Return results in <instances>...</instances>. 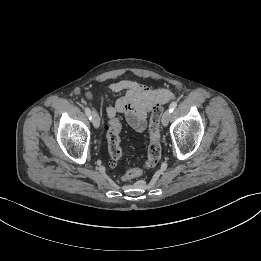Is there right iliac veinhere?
I'll return each instance as SVG.
<instances>
[{"label": "right iliac vein", "instance_id": "obj_1", "mask_svg": "<svg viewBox=\"0 0 261 261\" xmlns=\"http://www.w3.org/2000/svg\"><path fill=\"white\" fill-rule=\"evenodd\" d=\"M91 117H92V121H93L94 127L98 128L100 126V117H99V115L95 111H92Z\"/></svg>", "mask_w": 261, "mask_h": 261}]
</instances>
